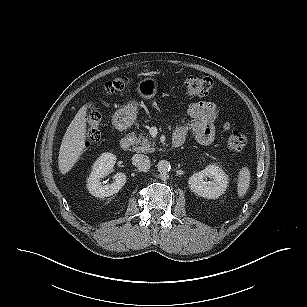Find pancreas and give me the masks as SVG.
I'll list each match as a JSON object with an SVG mask.
<instances>
[{"label": "pancreas", "instance_id": "1", "mask_svg": "<svg viewBox=\"0 0 307 307\" xmlns=\"http://www.w3.org/2000/svg\"><path fill=\"white\" fill-rule=\"evenodd\" d=\"M133 137V150L136 152L142 153H152L155 151V142L148 136H144V134L135 136L134 133L131 134Z\"/></svg>", "mask_w": 307, "mask_h": 307}]
</instances>
